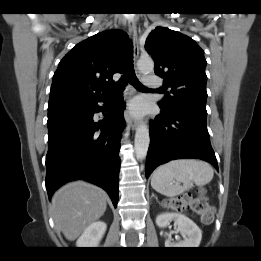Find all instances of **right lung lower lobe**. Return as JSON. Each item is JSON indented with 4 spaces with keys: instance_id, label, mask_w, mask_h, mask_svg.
Masks as SVG:
<instances>
[{
    "instance_id": "1",
    "label": "right lung lower lobe",
    "mask_w": 261,
    "mask_h": 261,
    "mask_svg": "<svg viewBox=\"0 0 261 261\" xmlns=\"http://www.w3.org/2000/svg\"><path fill=\"white\" fill-rule=\"evenodd\" d=\"M99 102L108 107L102 108ZM124 108L122 97L111 102L104 95L48 111L45 182L49 199L63 184L83 179L106 190L117 207ZM100 111L104 119L97 122L94 114Z\"/></svg>"
}]
</instances>
